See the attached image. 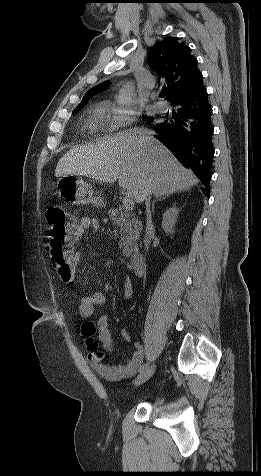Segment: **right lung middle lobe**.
Listing matches in <instances>:
<instances>
[{
    "label": "right lung middle lobe",
    "instance_id": "1",
    "mask_svg": "<svg viewBox=\"0 0 261 476\" xmlns=\"http://www.w3.org/2000/svg\"><path fill=\"white\" fill-rule=\"evenodd\" d=\"M83 106H84V105H82V106H80V107H77V108L73 111V113L79 111ZM150 120H151V119H150Z\"/></svg>",
    "mask_w": 261,
    "mask_h": 476
}]
</instances>
